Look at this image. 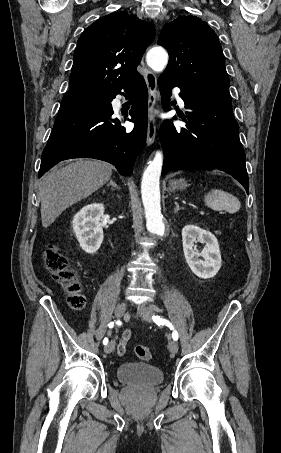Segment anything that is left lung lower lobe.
<instances>
[{
    "label": "left lung lower lobe",
    "instance_id": "left-lung-lower-lobe-1",
    "mask_svg": "<svg viewBox=\"0 0 281 453\" xmlns=\"http://www.w3.org/2000/svg\"><path fill=\"white\" fill-rule=\"evenodd\" d=\"M158 86L162 104L169 109L170 90L178 87L169 77L160 76ZM188 119L187 129L164 121L160 128L164 149L162 175L178 170L219 169L249 190L245 152L239 140V128L232 112L230 95L188 94L181 91Z\"/></svg>",
    "mask_w": 281,
    "mask_h": 453
}]
</instances>
